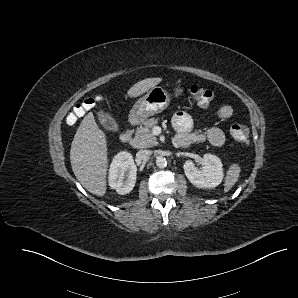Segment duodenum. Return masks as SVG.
Instances as JSON below:
<instances>
[{"instance_id":"duodenum-1","label":"duodenum","mask_w":298,"mask_h":298,"mask_svg":"<svg viewBox=\"0 0 298 298\" xmlns=\"http://www.w3.org/2000/svg\"><path fill=\"white\" fill-rule=\"evenodd\" d=\"M135 124L136 120L132 119L131 125L133 126ZM133 139L134 137L131 130H125L120 135V140L126 144H131L133 142ZM198 140V137L183 132L177 133V135L175 136V142L179 147H188Z\"/></svg>"}]
</instances>
